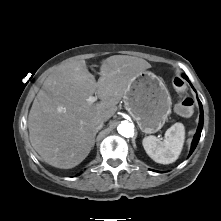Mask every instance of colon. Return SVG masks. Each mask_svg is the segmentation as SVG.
Instances as JSON below:
<instances>
[{
  "label": "colon",
  "instance_id": "colon-1",
  "mask_svg": "<svg viewBox=\"0 0 221 221\" xmlns=\"http://www.w3.org/2000/svg\"><path fill=\"white\" fill-rule=\"evenodd\" d=\"M86 73L89 78H95L96 72L93 71L92 67L86 68ZM173 87L177 93L183 95L187 89L185 81L181 77H175L172 81ZM194 110L193 100L189 97H183L180 102L176 105V112L182 117H189L192 115Z\"/></svg>",
  "mask_w": 221,
  "mask_h": 221
}]
</instances>
